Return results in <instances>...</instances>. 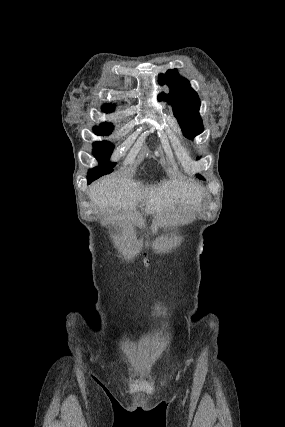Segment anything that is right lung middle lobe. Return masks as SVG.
Segmentation results:
<instances>
[{
  "label": "right lung middle lobe",
  "mask_w": 285,
  "mask_h": 427,
  "mask_svg": "<svg viewBox=\"0 0 285 427\" xmlns=\"http://www.w3.org/2000/svg\"><path fill=\"white\" fill-rule=\"evenodd\" d=\"M113 130V126L109 127H95L94 132L97 135H109ZM93 154L95 158L99 161L100 165L98 167L92 168L88 172V176H96L99 177L109 174L113 171V167L115 163L108 162L110 155L113 151L114 145L108 141L95 142L93 144Z\"/></svg>",
  "instance_id": "1"
}]
</instances>
